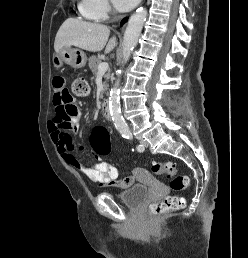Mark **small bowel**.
Instances as JSON below:
<instances>
[{"label": "small bowel", "instance_id": "obj_1", "mask_svg": "<svg viewBox=\"0 0 248 258\" xmlns=\"http://www.w3.org/2000/svg\"><path fill=\"white\" fill-rule=\"evenodd\" d=\"M53 88V107L55 116L49 124V130L53 141L64 161L74 167H77L92 183L113 187L118 190L129 188L134 183V176H127L122 180H117V169L103 161L99 160L94 164L87 165L80 162L75 155L74 144L70 135V131H77L80 123V115L78 113L71 116V127L61 128L55 117L67 111L72 105V97L65 88L64 78L55 77L52 80Z\"/></svg>", "mask_w": 248, "mask_h": 258}]
</instances>
